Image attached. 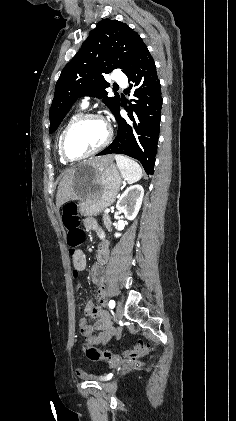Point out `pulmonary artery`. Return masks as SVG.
Returning a JSON list of instances; mask_svg holds the SVG:
<instances>
[{
	"label": "pulmonary artery",
	"instance_id": "e3ab8cb5",
	"mask_svg": "<svg viewBox=\"0 0 236 421\" xmlns=\"http://www.w3.org/2000/svg\"><path fill=\"white\" fill-rule=\"evenodd\" d=\"M115 76L117 78H115V85L118 86H125L127 84V79L124 76V71L122 69H117L115 71ZM90 105V99L89 98H84L81 102V107L82 108H88Z\"/></svg>",
	"mask_w": 236,
	"mask_h": 421
}]
</instances>
